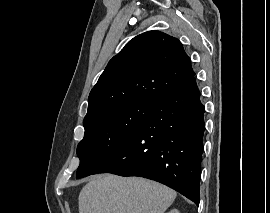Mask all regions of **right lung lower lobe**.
<instances>
[{
  "label": "right lung lower lobe",
  "mask_w": 270,
  "mask_h": 213,
  "mask_svg": "<svg viewBox=\"0 0 270 213\" xmlns=\"http://www.w3.org/2000/svg\"><path fill=\"white\" fill-rule=\"evenodd\" d=\"M204 111L193 77L158 102L133 136L94 174L155 180L199 205Z\"/></svg>",
  "instance_id": "98d812e1"
}]
</instances>
